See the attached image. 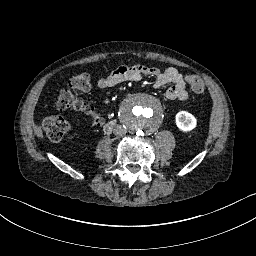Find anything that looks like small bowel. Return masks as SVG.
Listing matches in <instances>:
<instances>
[{"mask_svg": "<svg viewBox=\"0 0 256 256\" xmlns=\"http://www.w3.org/2000/svg\"><path fill=\"white\" fill-rule=\"evenodd\" d=\"M142 75L155 78V87L162 88L167 84H172L165 96L169 100L184 101L188 98L185 77L174 67H167L163 70L156 67H149L139 63L122 65L106 76L98 80L100 88H112L125 81H137Z\"/></svg>", "mask_w": 256, "mask_h": 256, "instance_id": "obj_1", "label": "small bowel"}]
</instances>
